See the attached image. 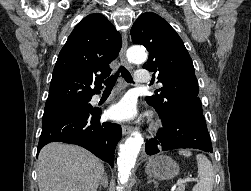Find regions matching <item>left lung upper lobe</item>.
Segmentation results:
<instances>
[{"instance_id":"left-lung-upper-lobe-1","label":"left lung upper lobe","mask_w":251,"mask_h":191,"mask_svg":"<svg viewBox=\"0 0 251 191\" xmlns=\"http://www.w3.org/2000/svg\"><path fill=\"white\" fill-rule=\"evenodd\" d=\"M134 44L149 51L143 65L156 74L163 87L146 101L153 106L163 122L179 111H202L199 87L191 57L176 31L159 15L147 12L138 17L131 29Z\"/></svg>"}]
</instances>
